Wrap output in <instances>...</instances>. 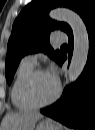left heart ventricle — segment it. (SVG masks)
Returning <instances> with one entry per match:
<instances>
[{
    "label": "left heart ventricle",
    "instance_id": "1",
    "mask_svg": "<svg viewBox=\"0 0 95 130\" xmlns=\"http://www.w3.org/2000/svg\"><path fill=\"white\" fill-rule=\"evenodd\" d=\"M56 81L47 73L38 74L32 84V94L40 102L47 101L56 93Z\"/></svg>",
    "mask_w": 95,
    "mask_h": 130
}]
</instances>
